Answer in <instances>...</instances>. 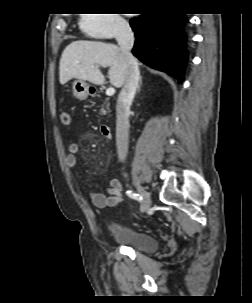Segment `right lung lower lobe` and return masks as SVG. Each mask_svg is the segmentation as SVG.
Returning a JSON list of instances; mask_svg holds the SVG:
<instances>
[{"label":"right lung lower lobe","mask_w":252,"mask_h":303,"mask_svg":"<svg viewBox=\"0 0 252 303\" xmlns=\"http://www.w3.org/2000/svg\"><path fill=\"white\" fill-rule=\"evenodd\" d=\"M187 18L175 13H147L130 20L136 41L133 54L146 65L184 79V69L188 60L187 36L183 30ZM169 38H163V35ZM160 38L161 48L155 50V41Z\"/></svg>","instance_id":"right-lung-lower-lobe-1"}]
</instances>
